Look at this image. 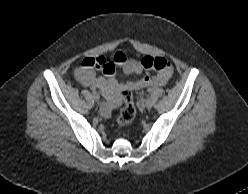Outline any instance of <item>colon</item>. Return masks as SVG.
Here are the masks:
<instances>
[{
    "label": "colon",
    "mask_w": 248,
    "mask_h": 194,
    "mask_svg": "<svg viewBox=\"0 0 248 194\" xmlns=\"http://www.w3.org/2000/svg\"><path fill=\"white\" fill-rule=\"evenodd\" d=\"M91 65L97 66L93 63ZM143 65L148 70H166L168 68V61L162 57H146L144 58ZM122 100V109L116 120V127L121 129L130 124L136 115V110L133 102V95L129 90H122L120 93Z\"/></svg>",
    "instance_id": "obj_1"
}]
</instances>
